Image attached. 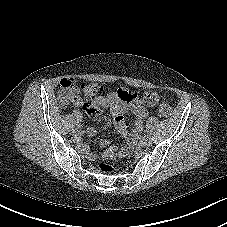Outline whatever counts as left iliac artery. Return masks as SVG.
<instances>
[{
    "mask_svg": "<svg viewBox=\"0 0 227 227\" xmlns=\"http://www.w3.org/2000/svg\"><path fill=\"white\" fill-rule=\"evenodd\" d=\"M146 135H149V132L148 131H145Z\"/></svg>",
    "mask_w": 227,
    "mask_h": 227,
    "instance_id": "obj_1",
    "label": "left iliac artery"
}]
</instances>
